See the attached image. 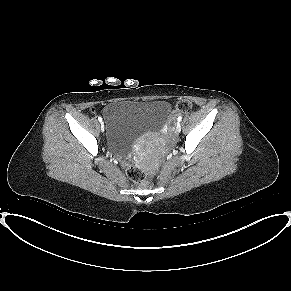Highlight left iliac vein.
I'll list each match as a JSON object with an SVG mask.
<instances>
[{"instance_id": "1", "label": "left iliac vein", "mask_w": 291, "mask_h": 291, "mask_svg": "<svg viewBox=\"0 0 291 291\" xmlns=\"http://www.w3.org/2000/svg\"><path fill=\"white\" fill-rule=\"evenodd\" d=\"M176 131L178 133L181 131V125H180V123H177V125H176Z\"/></svg>"}]
</instances>
